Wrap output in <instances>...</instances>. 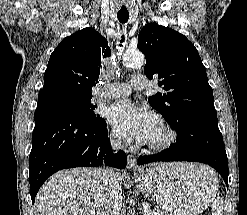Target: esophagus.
Returning a JSON list of instances; mask_svg holds the SVG:
<instances>
[{
	"label": "esophagus",
	"instance_id": "esophagus-1",
	"mask_svg": "<svg viewBox=\"0 0 247 215\" xmlns=\"http://www.w3.org/2000/svg\"><path fill=\"white\" fill-rule=\"evenodd\" d=\"M127 168L129 172L138 173L141 171V168L137 165L136 158L133 155L128 156Z\"/></svg>",
	"mask_w": 247,
	"mask_h": 215
}]
</instances>
